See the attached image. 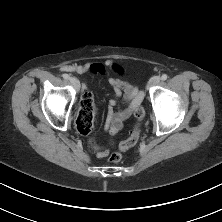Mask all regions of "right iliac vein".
Returning <instances> with one entry per match:
<instances>
[{"mask_svg": "<svg viewBox=\"0 0 222 222\" xmlns=\"http://www.w3.org/2000/svg\"><path fill=\"white\" fill-rule=\"evenodd\" d=\"M70 82L72 83V85H73L76 89H79L80 84H79V81H78L77 78L71 77V78H70Z\"/></svg>", "mask_w": 222, "mask_h": 222, "instance_id": "63e3f726", "label": "right iliac vein"}]
</instances>
